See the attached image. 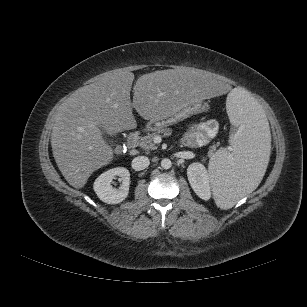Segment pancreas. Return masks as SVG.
<instances>
[{"label": "pancreas", "instance_id": "pancreas-1", "mask_svg": "<svg viewBox=\"0 0 307 307\" xmlns=\"http://www.w3.org/2000/svg\"><path fill=\"white\" fill-rule=\"evenodd\" d=\"M172 133V130L169 128H161L158 130H155L152 133H148L146 136L140 137L138 141V145L144 149V150H156L157 146L154 143V139L156 136L163 135V136H169ZM209 154H212L210 151Z\"/></svg>", "mask_w": 307, "mask_h": 307}]
</instances>
